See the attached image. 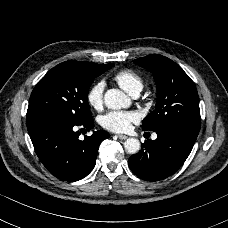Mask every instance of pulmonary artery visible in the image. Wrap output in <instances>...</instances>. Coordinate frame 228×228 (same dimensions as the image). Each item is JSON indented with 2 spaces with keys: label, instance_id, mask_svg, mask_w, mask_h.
Returning a JSON list of instances; mask_svg holds the SVG:
<instances>
[{
  "label": "pulmonary artery",
  "instance_id": "obj_1",
  "mask_svg": "<svg viewBox=\"0 0 228 228\" xmlns=\"http://www.w3.org/2000/svg\"><path fill=\"white\" fill-rule=\"evenodd\" d=\"M138 95H139V93H136V94H133L132 96H133L134 98H136V97H138ZM156 138H157V135L154 134V135L152 136V139H156Z\"/></svg>",
  "mask_w": 228,
  "mask_h": 228
}]
</instances>
